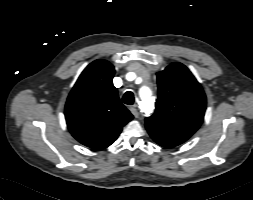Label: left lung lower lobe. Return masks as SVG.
<instances>
[{"instance_id":"1","label":"left lung lower lobe","mask_w":253,"mask_h":200,"mask_svg":"<svg viewBox=\"0 0 253 200\" xmlns=\"http://www.w3.org/2000/svg\"><path fill=\"white\" fill-rule=\"evenodd\" d=\"M146 129L156 143L166 148L175 147L190 138L186 134L170 132L153 126L146 125Z\"/></svg>"}]
</instances>
